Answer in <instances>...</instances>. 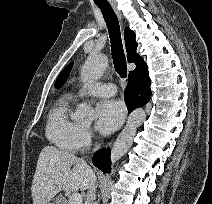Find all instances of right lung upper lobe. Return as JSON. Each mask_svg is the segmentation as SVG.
<instances>
[{"mask_svg": "<svg viewBox=\"0 0 212 204\" xmlns=\"http://www.w3.org/2000/svg\"><path fill=\"white\" fill-rule=\"evenodd\" d=\"M125 35V44L127 49V58L129 62H134L136 64V69L134 71H131L129 74L134 73L136 70H138L141 66L146 65L144 60L136 53V49L138 46V43L135 40V33L134 31H131L129 27L125 28L124 31Z\"/></svg>", "mask_w": 212, "mask_h": 204, "instance_id": "obj_1", "label": "right lung upper lobe"}]
</instances>
